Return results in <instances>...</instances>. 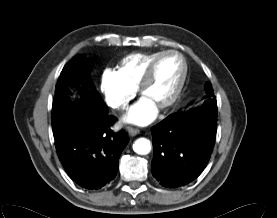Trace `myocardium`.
Here are the masks:
<instances>
[{
	"instance_id": "obj_1",
	"label": "myocardium",
	"mask_w": 277,
	"mask_h": 218,
	"mask_svg": "<svg viewBox=\"0 0 277 218\" xmlns=\"http://www.w3.org/2000/svg\"><path fill=\"white\" fill-rule=\"evenodd\" d=\"M168 55L177 56L182 62L183 69H182V74H181V77H180V80L178 82L177 87L175 88V90H174L173 94L171 95L170 99L168 101H166L165 103H163L159 107V109H161V110H164V109H167V108L173 106L177 102V100L179 99V97L181 95V92L184 88V85H185V82H186V79H187V75H188V63H187V60L184 57V55L181 54L178 51H175V50H166V51L160 52L149 63V65L146 68L145 73H144V75H143V77H142V79H141V81L138 85V90H139L140 94H143L144 90L146 89V87L149 85V83L151 82V80L154 77L155 69H156L157 64L159 63V61L162 58H164L165 56H168Z\"/></svg>"
}]
</instances>
